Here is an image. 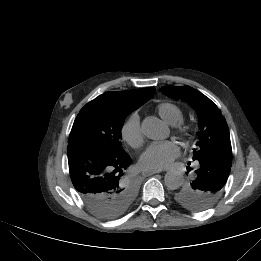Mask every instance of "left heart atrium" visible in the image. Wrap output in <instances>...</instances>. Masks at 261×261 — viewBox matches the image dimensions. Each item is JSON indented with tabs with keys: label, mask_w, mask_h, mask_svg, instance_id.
I'll return each mask as SVG.
<instances>
[{
	"label": "left heart atrium",
	"mask_w": 261,
	"mask_h": 261,
	"mask_svg": "<svg viewBox=\"0 0 261 261\" xmlns=\"http://www.w3.org/2000/svg\"><path fill=\"white\" fill-rule=\"evenodd\" d=\"M180 154L175 141H163L149 144L141 153L140 166L145 170H161L171 165Z\"/></svg>",
	"instance_id": "obj_1"
}]
</instances>
